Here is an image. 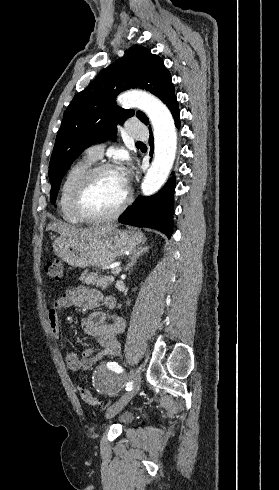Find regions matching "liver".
<instances>
[{"label": "liver", "mask_w": 279, "mask_h": 490, "mask_svg": "<svg viewBox=\"0 0 279 490\" xmlns=\"http://www.w3.org/2000/svg\"><path fill=\"white\" fill-rule=\"evenodd\" d=\"M116 226H95V228H75V226H68V224H63V222H52L48 224L46 230H53V232H58L61 238H68V240H84L88 242L91 238L95 236H103L106 232H110Z\"/></svg>", "instance_id": "liver-1"}]
</instances>
